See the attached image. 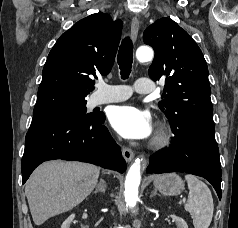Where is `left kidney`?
<instances>
[{"mask_svg":"<svg viewBox=\"0 0 238 228\" xmlns=\"http://www.w3.org/2000/svg\"><path fill=\"white\" fill-rule=\"evenodd\" d=\"M170 217L172 218L173 222L176 224L177 228H188L187 223L181 217H178L176 215H170Z\"/></svg>","mask_w":238,"mask_h":228,"instance_id":"1","label":"left kidney"}]
</instances>
